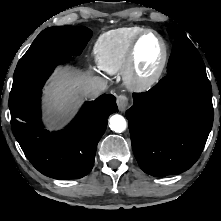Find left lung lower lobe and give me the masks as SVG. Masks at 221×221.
Listing matches in <instances>:
<instances>
[{
  "mask_svg": "<svg viewBox=\"0 0 221 221\" xmlns=\"http://www.w3.org/2000/svg\"><path fill=\"white\" fill-rule=\"evenodd\" d=\"M133 100L126 117L141 169L164 177L191 168L213 124L212 89L207 76L169 74L149 91L133 93Z\"/></svg>",
  "mask_w": 221,
  "mask_h": 221,
  "instance_id": "obj_1",
  "label": "left lung lower lobe"
}]
</instances>
